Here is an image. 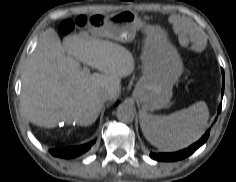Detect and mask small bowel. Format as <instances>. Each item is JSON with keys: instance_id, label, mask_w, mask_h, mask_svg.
<instances>
[{"instance_id": "1", "label": "small bowel", "mask_w": 236, "mask_h": 182, "mask_svg": "<svg viewBox=\"0 0 236 182\" xmlns=\"http://www.w3.org/2000/svg\"><path fill=\"white\" fill-rule=\"evenodd\" d=\"M172 23L174 24V27H175L176 31L180 33V35H179L180 42L182 44H186L187 43V39L181 33L182 29H183V21L179 17H173Z\"/></svg>"}]
</instances>
